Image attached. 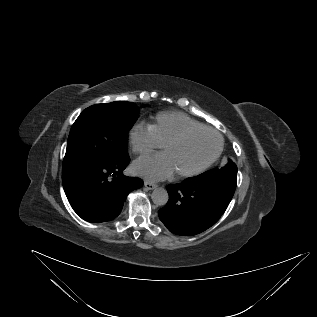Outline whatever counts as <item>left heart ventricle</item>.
<instances>
[{
  "instance_id": "1",
  "label": "left heart ventricle",
  "mask_w": 317,
  "mask_h": 317,
  "mask_svg": "<svg viewBox=\"0 0 317 317\" xmlns=\"http://www.w3.org/2000/svg\"><path fill=\"white\" fill-rule=\"evenodd\" d=\"M218 137L211 132L195 133L179 144L168 147V157L174 172L189 171L206 162L217 150Z\"/></svg>"
}]
</instances>
